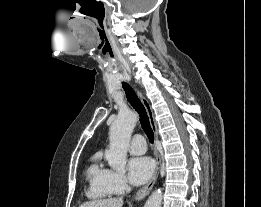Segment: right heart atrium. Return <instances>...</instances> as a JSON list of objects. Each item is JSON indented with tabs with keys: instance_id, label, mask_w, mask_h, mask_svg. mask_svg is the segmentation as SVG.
I'll use <instances>...</instances> for the list:
<instances>
[{
	"instance_id": "d8ad5b80",
	"label": "right heart atrium",
	"mask_w": 261,
	"mask_h": 207,
	"mask_svg": "<svg viewBox=\"0 0 261 207\" xmlns=\"http://www.w3.org/2000/svg\"><path fill=\"white\" fill-rule=\"evenodd\" d=\"M107 181L112 194H121L128 187L125 177L115 171L110 170Z\"/></svg>"
}]
</instances>
